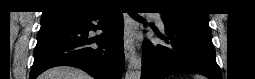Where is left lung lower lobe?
<instances>
[{
	"label": "left lung lower lobe",
	"mask_w": 255,
	"mask_h": 79,
	"mask_svg": "<svg viewBox=\"0 0 255 79\" xmlns=\"http://www.w3.org/2000/svg\"><path fill=\"white\" fill-rule=\"evenodd\" d=\"M162 20L167 37H159L169 45L144 41L141 79H164L178 73H197L210 79H221L209 25L169 22L163 15Z\"/></svg>",
	"instance_id": "obj_1"
}]
</instances>
